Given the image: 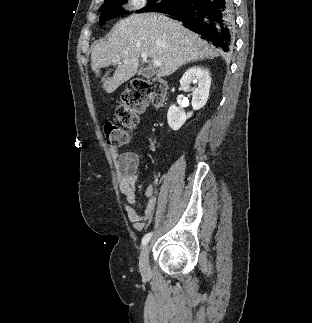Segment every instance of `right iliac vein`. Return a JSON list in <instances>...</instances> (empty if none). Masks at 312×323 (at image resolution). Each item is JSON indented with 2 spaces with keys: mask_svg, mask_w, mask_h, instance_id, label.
Here are the masks:
<instances>
[{
  "mask_svg": "<svg viewBox=\"0 0 312 323\" xmlns=\"http://www.w3.org/2000/svg\"><path fill=\"white\" fill-rule=\"evenodd\" d=\"M149 255H148V246L146 245L140 255L139 267L140 272L143 276H146L149 273Z\"/></svg>",
  "mask_w": 312,
  "mask_h": 323,
  "instance_id": "63e3f726",
  "label": "right iliac vein"
}]
</instances>
